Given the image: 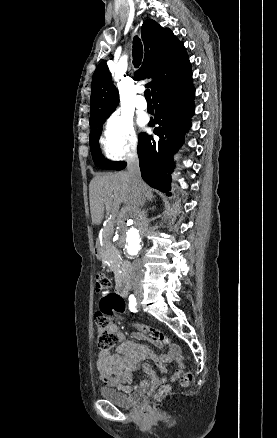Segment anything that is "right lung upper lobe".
<instances>
[{
    "instance_id": "1",
    "label": "right lung upper lobe",
    "mask_w": 277,
    "mask_h": 438,
    "mask_svg": "<svg viewBox=\"0 0 277 438\" xmlns=\"http://www.w3.org/2000/svg\"><path fill=\"white\" fill-rule=\"evenodd\" d=\"M145 47V57L135 79L152 78L147 86L152 94L159 87L184 74L191 65L182 41H179L168 28H162L155 21L146 20L141 28ZM119 94L111 81L107 64L101 62L92 79L90 99V123L104 122L116 109Z\"/></svg>"
}]
</instances>
